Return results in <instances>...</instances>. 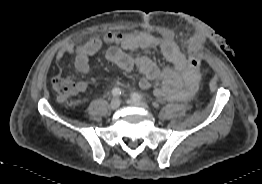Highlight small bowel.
Here are the masks:
<instances>
[{
	"mask_svg": "<svg viewBox=\"0 0 262 184\" xmlns=\"http://www.w3.org/2000/svg\"><path fill=\"white\" fill-rule=\"evenodd\" d=\"M205 37L204 29L192 32L188 48L198 50ZM103 44L111 45L106 51L108 61L124 71L137 69L143 75L139 82L141 89H149L154 85L158 97L173 100H188L194 96L200 80V70L188 69L187 60L190 56L183 53L170 38L148 33L109 32L103 39L91 38L81 45H65L57 52L56 62L61 64L67 56L74 55L77 71L88 74L91 72L90 58L101 50ZM136 49H157L168 64L160 67L146 56L134 57L128 53ZM86 87L85 82L79 83L80 91H85Z\"/></svg>",
	"mask_w": 262,
	"mask_h": 184,
	"instance_id": "c3829d8e",
	"label": "small bowel"
}]
</instances>
